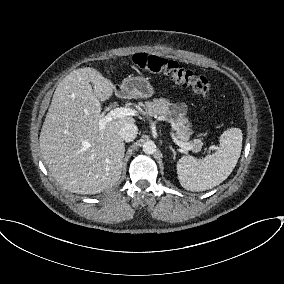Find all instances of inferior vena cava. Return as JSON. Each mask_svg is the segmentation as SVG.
Instances as JSON below:
<instances>
[{"mask_svg":"<svg viewBox=\"0 0 284 284\" xmlns=\"http://www.w3.org/2000/svg\"><path fill=\"white\" fill-rule=\"evenodd\" d=\"M137 133L138 128L134 123H125L120 129L121 138L126 142L133 141Z\"/></svg>","mask_w":284,"mask_h":284,"instance_id":"inferior-vena-cava-1","label":"inferior vena cava"}]
</instances>
